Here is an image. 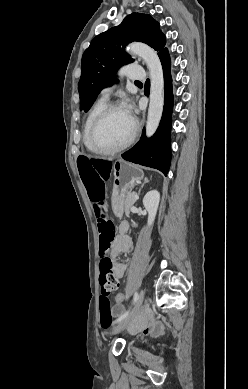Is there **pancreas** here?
<instances>
[{
	"instance_id": "1",
	"label": "pancreas",
	"mask_w": 248,
	"mask_h": 389,
	"mask_svg": "<svg viewBox=\"0 0 248 389\" xmlns=\"http://www.w3.org/2000/svg\"><path fill=\"white\" fill-rule=\"evenodd\" d=\"M135 202V200L133 199V194L130 193V192H127L126 193V197H125V202H124V209H125V213L128 214L129 213V208L130 206Z\"/></svg>"
}]
</instances>
